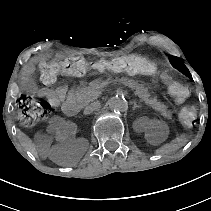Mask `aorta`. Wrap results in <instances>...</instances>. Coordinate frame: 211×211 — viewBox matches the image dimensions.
I'll list each match as a JSON object with an SVG mask.
<instances>
[{
    "instance_id": "aorta-1",
    "label": "aorta",
    "mask_w": 211,
    "mask_h": 211,
    "mask_svg": "<svg viewBox=\"0 0 211 211\" xmlns=\"http://www.w3.org/2000/svg\"><path fill=\"white\" fill-rule=\"evenodd\" d=\"M108 104L109 108L117 113L125 112L128 109L127 101L120 96L111 97L108 101Z\"/></svg>"
}]
</instances>
